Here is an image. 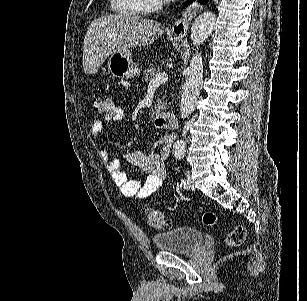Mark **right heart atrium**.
Wrapping results in <instances>:
<instances>
[{
	"label": "right heart atrium",
	"mask_w": 307,
	"mask_h": 301,
	"mask_svg": "<svg viewBox=\"0 0 307 301\" xmlns=\"http://www.w3.org/2000/svg\"><path fill=\"white\" fill-rule=\"evenodd\" d=\"M148 9H151V6H148Z\"/></svg>",
	"instance_id": "obj_1"
}]
</instances>
